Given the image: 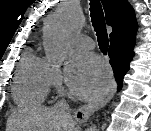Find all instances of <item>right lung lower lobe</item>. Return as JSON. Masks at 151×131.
Segmentation results:
<instances>
[{
  "instance_id": "obj_1",
  "label": "right lung lower lobe",
  "mask_w": 151,
  "mask_h": 131,
  "mask_svg": "<svg viewBox=\"0 0 151 131\" xmlns=\"http://www.w3.org/2000/svg\"><path fill=\"white\" fill-rule=\"evenodd\" d=\"M134 43L124 42L118 44H110L109 57L110 64L114 70V75L118 83V90L121 89V84L124 75L129 70V64L134 56Z\"/></svg>"
}]
</instances>
